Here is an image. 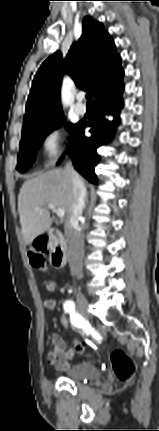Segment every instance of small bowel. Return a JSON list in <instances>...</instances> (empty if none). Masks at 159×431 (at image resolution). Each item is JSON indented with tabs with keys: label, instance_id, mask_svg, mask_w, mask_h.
Masks as SVG:
<instances>
[{
	"label": "small bowel",
	"instance_id": "1",
	"mask_svg": "<svg viewBox=\"0 0 159 431\" xmlns=\"http://www.w3.org/2000/svg\"><path fill=\"white\" fill-rule=\"evenodd\" d=\"M57 285V282L49 281L46 285V289L49 292H53L55 291ZM49 301H52L55 304L53 299H47L44 302L46 308ZM51 343L52 348L47 355L48 362L59 370L66 369L68 367L69 360L73 358L74 354L77 353V350L74 349L73 344L70 348L67 349V345L64 339L56 333L51 335Z\"/></svg>",
	"mask_w": 159,
	"mask_h": 431
}]
</instances>
